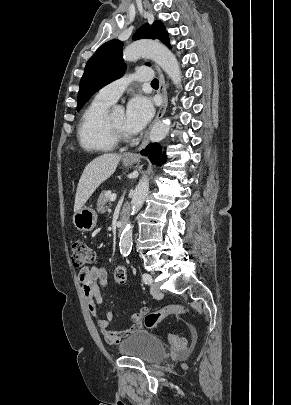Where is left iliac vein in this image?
<instances>
[{
	"label": "left iliac vein",
	"mask_w": 291,
	"mask_h": 405,
	"mask_svg": "<svg viewBox=\"0 0 291 405\" xmlns=\"http://www.w3.org/2000/svg\"><path fill=\"white\" fill-rule=\"evenodd\" d=\"M150 291H151V294L153 295V297H155V298H160L163 295L162 291L160 290L159 285L155 284V283L151 284Z\"/></svg>",
	"instance_id": "1"
}]
</instances>
